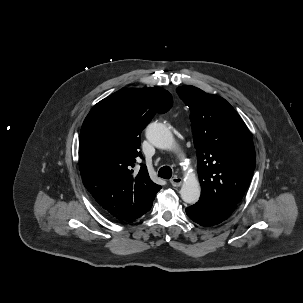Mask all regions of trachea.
<instances>
[{
  "label": "trachea",
  "mask_w": 303,
  "mask_h": 303,
  "mask_svg": "<svg viewBox=\"0 0 303 303\" xmlns=\"http://www.w3.org/2000/svg\"><path fill=\"white\" fill-rule=\"evenodd\" d=\"M158 176L164 179H170L172 176V169L169 166H163L159 169Z\"/></svg>",
  "instance_id": "3493384b"
}]
</instances>
